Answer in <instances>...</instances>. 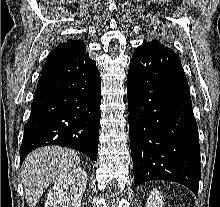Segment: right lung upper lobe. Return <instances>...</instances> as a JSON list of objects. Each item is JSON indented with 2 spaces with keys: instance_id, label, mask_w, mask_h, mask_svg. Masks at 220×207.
Listing matches in <instances>:
<instances>
[{
  "instance_id": "1",
  "label": "right lung upper lobe",
  "mask_w": 220,
  "mask_h": 207,
  "mask_svg": "<svg viewBox=\"0 0 220 207\" xmlns=\"http://www.w3.org/2000/svg\"><path fill=\"white\" fill-rule=\"evenodd\" d=\"M86 45L80 40H68L65 43L58 45L47 57V60H55L74 56L85 52Z\"/></svg>"
}]
</instances>
